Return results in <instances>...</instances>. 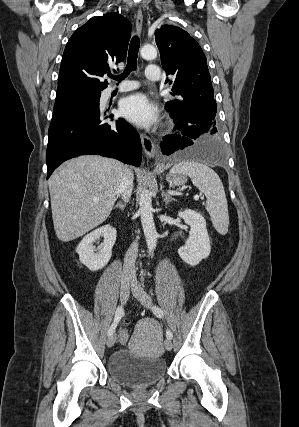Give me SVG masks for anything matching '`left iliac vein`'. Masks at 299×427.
Here are the masks:
<instances>
[{
    "label": "left iliac vein",
    "mask_w": 299,
    "mask_h": 427,
    "mask_svg": "<svg viewBox=\"0 0 299 427\" xmlns=\"http://www.w3.org/2000/svg\"><path fill=\"white\" fill-rule=\"evenodd\" d=\"M132 293L142 305L146 308H151L152 299L150 295L134 282L132 283ZM164 346L167 350H171L173 346L172 341L169 338L165 339Z\"/></svg>",
    "instance_id": "1"
}]
</instances>
